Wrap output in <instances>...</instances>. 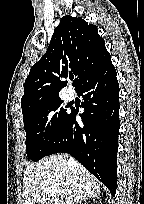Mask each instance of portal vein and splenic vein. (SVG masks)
Listing matches in <instances>:
<instances>
[{
	"mask_svg": "<svg viewBox=\"0 0 144 204\" xmlns=\"http://www.w3.org/2000/svg\"><path fill=\"white\" fill-rule=\"evenodd\" d=\"M47 193L51 197L56 198L61 195V190L57 187L52 186L47 189Z\"/></svg>",
	"mask_w": 144,
	"mask_h": 204,
	"instance_id": "portal-vein-and-splenic-vein-1",
	"label": "portal vein and splenic vein"
}]
</instances>
